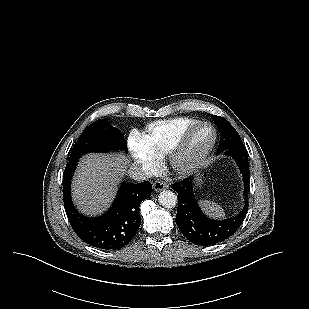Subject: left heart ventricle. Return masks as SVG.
Instances as JSON below:
<instances>
[{"label": "left heart ventricle", "instance_id": "obj_1", "mask_svg": "<svg viewBox=\"0 0 309 309\" xmlns=\"http://www.w3.org/2000/svg\"><path fill=\"white\" fill-rule=\"evenodd\" d=\"M211 138L212 132L208 127L202 126L198 128L192 138L190 155L202 151L210 143Z\"/></svg>", "mask_w": 309, "mask_h": 309}]
</instances>
